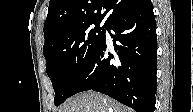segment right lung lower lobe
<instances>
[{
    "mask_svg": "<svg viewBox=\"0 0 193 112\" xmlns=\"http://www.w3.org/2000/svg\"><path fill=\"white\" fill-rule=\"evenodd\" d=\"M106 29L113 38L115 55H106L104 35L70 96L92 89L137 112H154L157 36L151 0H138L110 21Z\"/></svg>",
    "mask_w": 193,
    "mask_h": 112,
    "instance_id": "1",
    "label": "right lung lower lobe"
}]
</instances>
